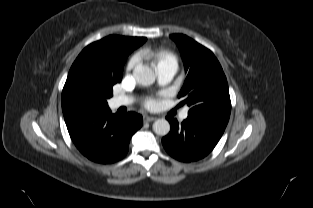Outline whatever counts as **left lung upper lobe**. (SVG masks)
<instances>
[{"label":"left lung upper lobe","instance_id":"1","mask_svg":"<svg viewBox=\"0 0 313 208\" xmlns=\"http://www.w3.org/2000/svg\"><path fill=\"white\" fill-rule=\"evenodd\" d=\"M182 56L187 77L178 94L190 106L188 115L228 123L231 101L228 84L214 54L183 34L170 35Z\"/></svg>","mask_w":313,"mask_h":208}]
</instances>
